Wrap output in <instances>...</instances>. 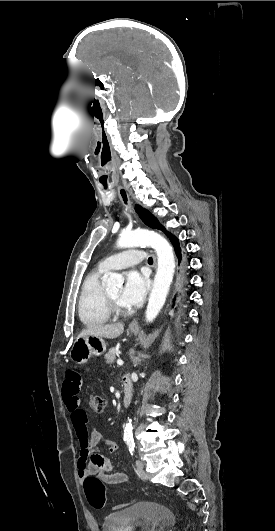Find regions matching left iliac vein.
<instances>
[{"label":"left iliac vein","instance_id":"obj_1","mask_svg":"<svg viewBox=\"0 0 275 531\" xmlns=\"http://www.w3.org/2000/svg\"><path fill=\"white\" fill-rule=\"evenodd\" d=\"M143 468H144V463H143L141 460H137V461H136L137 474H138L139 477H141L142 479L147 480V479H148V475L145 473V471H144Z\"/></svg>","mask_w":275,"mask_h":531}]
</instances>
